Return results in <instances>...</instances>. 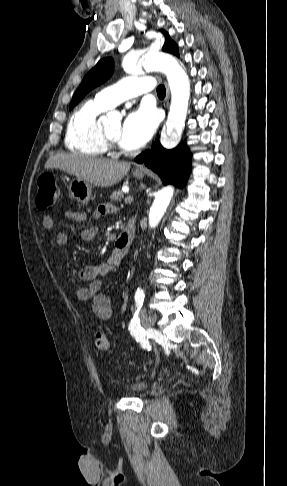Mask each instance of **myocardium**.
Segmentation results:
<instances>
[{
    "label": "myocardium",
    "instance_id": "1",
    "mask_svg": "<svg viewBox=\"0 0 287 486\" xmlns=\"http://www.w3.org/2000/svg\"><path fill=\"white\" fill-rule=\"evenodd\" d=\"M102 138L108 148H120L119 142L110 138L105 131L102 130Z\"/></svg>",
    "mask_w": 287,
    "mask_h": 486
}]
</instances>
